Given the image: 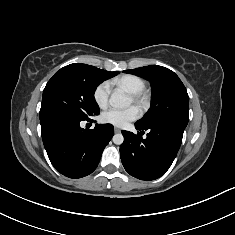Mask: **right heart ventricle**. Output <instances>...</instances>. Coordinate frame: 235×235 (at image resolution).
<instances>
[{"label": "right heart ventricle", "instance_id": "right-heart-ventricle-1", "mask_svg": "<svg viewBox=\"0 0 235 235\" xmlns=\"http://www.w3.org/2000/svg\"><path fill=\"white\" fill-rule=\"evenodd\" d=\"M113 84L124 87L131 94L142 92L145 89V82L135 75H123L114 80Z\"/></svg>", "mask_w": 235, "mask_h": 235}]
</instances>
